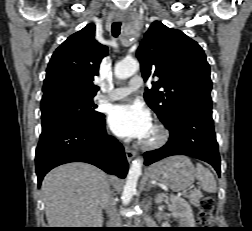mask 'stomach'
<instances>
[{"label":"stomach","instance_id":"stomach-1","mask_svg":"<svg viewBox=\"0 0 252 231\" xmlns=\"http://www.w3.org/2000/svg\"><path fill=\"white\" fill-rule=\"evenodd\" d=\"M147 174L172 190L182 191L193 184L196 170L187 156H172L150 166Z\"/></svg>","mask_w":252,"mask_h":231}]
</instances>
